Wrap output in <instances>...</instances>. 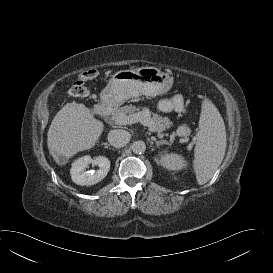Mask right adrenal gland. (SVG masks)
Segmentation results:
<instances>
[{
  "mask_svg": "<svg viewBox=\"0 0 273 273\" xmlns=\"http://www.w3.org/2000/svg\"><path fill=\"white\" fill-rule=\"evenodd\" d=\"M103 145L105 146V148L110 147V145L108 143H103Z\"/></svg>",
  "mask_w": 273,
  "mask_h": 273,
  "instance_id": "1",
  "label": "right adrenal gland"
}]
</instances>
